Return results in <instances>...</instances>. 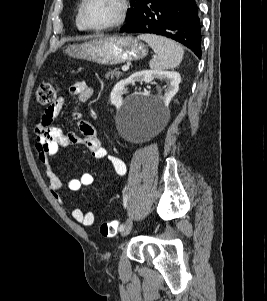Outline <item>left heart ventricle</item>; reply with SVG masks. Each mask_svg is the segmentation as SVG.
<instances>
[{"instance_id": "left-heart-ventricle-1", "label": "left heart ventricle", "mask_w": 267, "mask_h": 301, "mask_svg": "<svg viewBox=\"0 0 267 301\" xmlns=\"http://www.w3.org/2000/svg\"><path fill=\"white\" fill-rule=\"evenodd\" d=\"M118 11V0H88L85 18L90 25H103L114 20Z\"/></svg>"}]
</instances>
